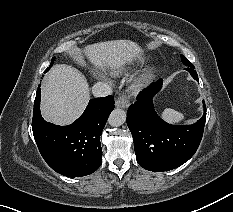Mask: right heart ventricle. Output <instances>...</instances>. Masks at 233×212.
<instances>
[{
    "instance_id": "obj_1",
    "label": "right heart ventricle",
    "mask_w": 233,
    "mask_h": 212,
    "mask_svg": "<svg viewBox=\"0 0 233 212\" xmlns=\"http://www.w3.org/2000/svg\"><path fill=\"white\" fill-rule=\"evenodd\" d=\"M140 61H141V62H144V61H145V58H141Z\"/></svg>"
}]
</instances>
